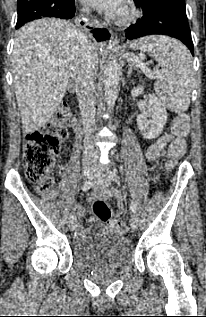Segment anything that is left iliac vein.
Returning a JSON list of instances; mask_svg holds the SVG:
<instances>
[{"label":"left iliac vein","instance_id":"1","mask_svg":"<svg viewBox=\"0 0 206 317\" xmlns=\"http://www.w3.org/2000/svg\"><path fill=\"white\" fill-rule=\"evenodd\" d=\"M95 173L97 176L98 185H101L103 187H108L110 185V179L107 176L100 174V171L98 169L95 170ZM130 225L133 230H136L138 227V218L135 214L131 216Z\"/></svg>","mask_w":206,"mask_h":317}]
</instances>
